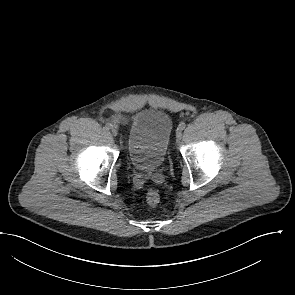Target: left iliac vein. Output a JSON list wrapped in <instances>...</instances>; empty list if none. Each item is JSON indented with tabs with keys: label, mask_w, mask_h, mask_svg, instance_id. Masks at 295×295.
Listing matches in <instances>:
<instances>
[{
	"label": "left iliac vein",
	"mask_w": 295,
	"mask_h": 295,
	"mask_svg": "<svg viewBox=\"0 0 295 295\" xmlns=\"http://www.w3.org/2000/svg\"><path fill=\"white\" fill-rule=\"evenodd\" d=\"M181 137H182L181 130H177V132H176V138H177V142H179V141H180Z\"/></svg>",
	"instance_id": "4c4485c4"
}]
</instances>
